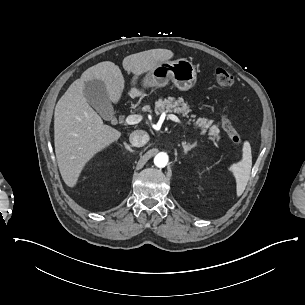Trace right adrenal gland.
<instances>
[{
	"label": "right adrenal gland",
	"mask_w": 305,
	"mask_h": 305,
	"mask_svg": "<svg viewBox=\"0 0 305 305\" xmlns=\"http://www.w3.org/2000/svg\"><path fill=\"white\" fill-rule=\"evenodd\" d=\"M124 148H125L127 151H129L130 153H135V152H136V150H132V149H131L130 145L124 144Z\"/></svg>",
	"instance_id": "obj_1"
}]
</instances>
